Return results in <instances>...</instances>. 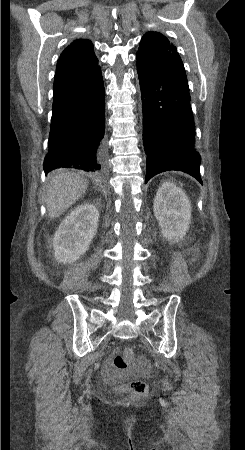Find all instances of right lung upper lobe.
<instances>
[{"instance_id":"right-lung-upper-lobe-1","label":"right lung upper lobe","mask_w":245,"mask_h":450,"mask_svg":"<svg viewBox=\"0 0 245 450\" xmlns=\"http://www.w3.org/2000/svg\"><path fill=\"white\" fill-rule=\"evenodd\" d=\"M98 67L89 40H75L61 54L56 68L54 96L78 83Z\"/></svg>"}]
</instances>
